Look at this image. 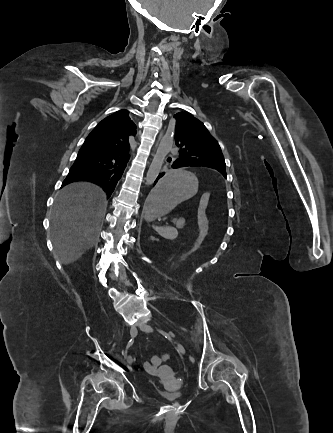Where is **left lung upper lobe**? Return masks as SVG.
Masks as SVG:
<instances>
[{
    "mask_svg": "<svg viewBox=\"0 0 333 433\" xmlns=\"http://www.w3.org/2000/svg\"><path fill=\"white\" fill-rule=\"evenodd\" d=\"M176 145L180 148L178 167H208L218 170L226 178L225 161L219 144L207 128L189 112L174 115Z\"/></svg>",
    "mask_w": 333,
    "mask_h": 433,
    "instance_id": "1",
    "label": "left lung upper lobe"
}]
</instances>
